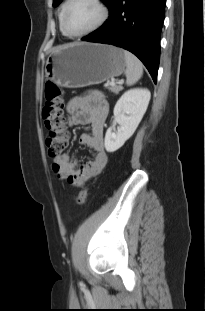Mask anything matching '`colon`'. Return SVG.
<instances>
[{
	"label": "colon",
	"instance_id": "5ec220e1",
	"mask_svg": "<svg viewBox=\"0 0 205 311\" xmlns=\"http://www.w3.org/2000/svg\"><path fill=\"white\" fill-rule=\"evenodd\" d=\"M42 118L48 131L46 146L49 156L55 158L63 154L69 141V134L64 128L63 94L53 82L45 85V102L42 108ZM88 197V188L82 187L74 196L73 202L82 205Z\"/></svg>",
	"mask_w": 205,
	"mask_h": 311
}]
</instances>
